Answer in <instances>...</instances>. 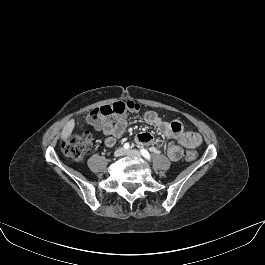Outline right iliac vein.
<instances>
[{
  "label": "right iliac vein",
  "mask_w": 265,
  "mask_h": 265,
  "mask_svg": "<svg viewBox=\"0 0 265 265\" xmlns=\"http://www.w3.org/2000/svg\"><path fill=\"white\" fill-rule=\"evenodd\" d=\"M125 154V150L123 148H118L115 152H114V156L115 157H121Z\"/></svg>",
  "instance_id": "1"
}]
</instances>
